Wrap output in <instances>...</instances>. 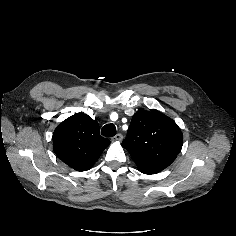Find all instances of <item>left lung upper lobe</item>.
<instances>
[{
	"instance_id": "left-lung-upper-lobe-1",
	"label": "left lung upper lobe",
	"mask_w": 236,
	"mask_h": 236,
	"mask_svg": "<svg viewBox=\"0 0 236 236\" xmlns=\"http://www.w3.org/2000/svg\"><path fill=\"white\" fill-rule=\"evenodd\" d=\"M183 135L169 117L140 108L133 116L122 146L130 153L140 172L156 174L168 167L180 153Z\"/></svg>"
}]
</instances>
